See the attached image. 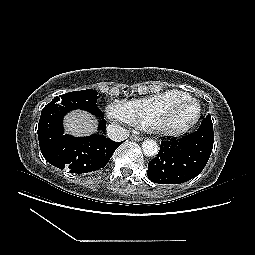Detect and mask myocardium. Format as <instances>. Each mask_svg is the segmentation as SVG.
I'll list each match as a JSON object with an SVG mask.
<instances>
[{"instance_id":"f54148a6","label":"myocardium","mask_w":255,"mask_h":255,"mask_svg":"<svg viewBox=\"0 0 255 255\" xmlns=\"http://www.w3.org/2000/svg\"><path fill=\"white\" fill-rule=\"evenodd\" d=\"M177 104H185L192 106L194 109V113L187 122L180 125H170L166 122L165 116ZM200 115L201 107L199 103L188 94L184 98L171 100L163 108L158 110L156 114L150 119L146 127L148 131L159 135L177 136L192 128L198 121Z\"/></svg>"}]
</instances>
